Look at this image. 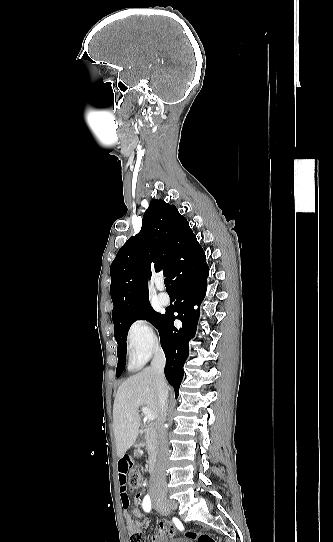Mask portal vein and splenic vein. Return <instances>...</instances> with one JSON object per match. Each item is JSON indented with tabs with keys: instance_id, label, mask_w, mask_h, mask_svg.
<instances>
[{
	"instance_id": "portal-vein-and-splenic-vein-1",
	"label": "portal vein and splenic vein",
	"mask_w": 333,
	"mask_h": 542,
	"mask_svg": "<svg viewBox=\"0 0 333 542\" xmlns=\"http://www.w3.org/2000/svg\"><path fill=\"white\" fill-rule=\"evenodd\" d=\"M141 412H143L145 420H148V422H153L156 418L155 412H152L150 408H141Z\"/></svg>"
}]
</instances>
